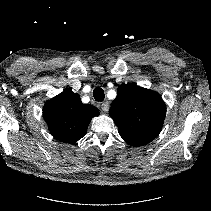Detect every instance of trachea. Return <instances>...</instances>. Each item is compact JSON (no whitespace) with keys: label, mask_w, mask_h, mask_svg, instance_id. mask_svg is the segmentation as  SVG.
I'll use <instances>...</instances> for the list:
<instances>
[{"label":"trachea","mask_w":211,"mask_h":211,"mask_svg":"<svg viewBox=\"0 0 211 211\" xmlns=\"http://www.w3.org/2000/svg\"><path fill=\"white\" fill-rule=\"evenodd\" d=\"M93 96L96 101L102 102L105 98L103 89L100 87H96L93 91Z\"/></svg>","instance_id":"trachea-1"}]
</instances>
